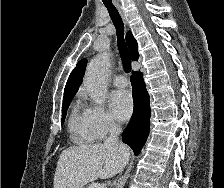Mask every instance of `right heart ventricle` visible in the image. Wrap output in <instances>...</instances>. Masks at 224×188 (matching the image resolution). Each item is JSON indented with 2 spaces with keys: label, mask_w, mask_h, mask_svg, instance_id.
<instances>
[{
  "label": "right heart ventricle",
  "mask_w": 224,
  "mask_h": 188,
  "mask_svg": "<svg viewBox=\"0 0 224 188\" xmlns=\"http://www.w3.org/2000/svg\"><path fill=\"white\" fill-rule=\"evenodd\" d=\"M69 130L75 143L89 144L96 140V137L87 126L84 111H81L78 104L74 107L69 118Z\"/></svg>",
  "instance_id": "right-heart-ventricle-1"
}]
</instances>
